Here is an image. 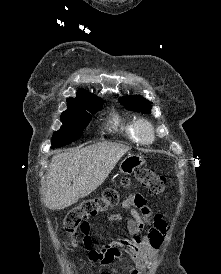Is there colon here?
<instances>
[{
    "label": "colon",
    "mask_w": 221,
    "mask_h": 274,
    "mask_svg": "<svg viewBox=\"0 0 221 274\" xmlns=\"http://www.w3.org/2000/svg\"><path fill=\"white\" fill-rule=\"evenodd\" d=\"M135 180L152 195H161L166 188L165 177L150 168H139L134 174ZM122 185L128 187L130 179L124 178ZM119 199L118 191L114 188L106 189L101 196L84 200L80 205L72 208L66 215L63 227L69 237V244L76 245L75 235L82 222L90 216L114 206Z\"/></svg>",
    "instance_id": "obj_1"
}]
</instances>
